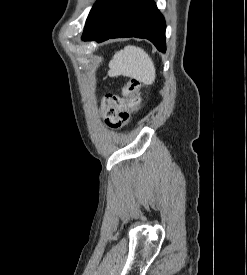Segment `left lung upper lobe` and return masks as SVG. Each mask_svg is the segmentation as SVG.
<instances>
[{"instance_id": "1", "label": "left lung upper lobe", "mask_w": 247, "mask_h": 275, "mask_svg": "<svg viewBox=\"0 0 247 275\" xmlns=\"http://www.w3.org/2000/svg\"><path fill=\"white\" fill-rule=\"evenodd\" d=\"M99 2H100V0H98V1L94 4L92 10L95 8V6H96ZM92 10H91V12H92ZM91 12H90V13H91Z\"/></svg>"}]
</instances>
